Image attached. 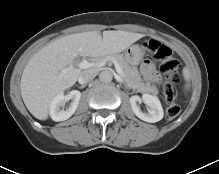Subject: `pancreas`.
Listing matches in <instances>:
<instances>
[{
	"label": "pancreas",
	"mask_w": 219,
	"mask_h": 174,
	"mask_svg": "<svg viewBox=\"0 0 219 174\" xmlns=\"http://www.w3.org/2000/svg\"><path fill=\"white\" fill-rule=\"evenodd\" d=\"M111 58L115 59L123 70V79L127 85L139 92H149L153 94H158V89L155 85L149 83H144L140 77V74L136 67H131L125 58L120 54H109L103 59Z\"/></svg>",
	"instance_id": "obj_1"
}]
</instances>
